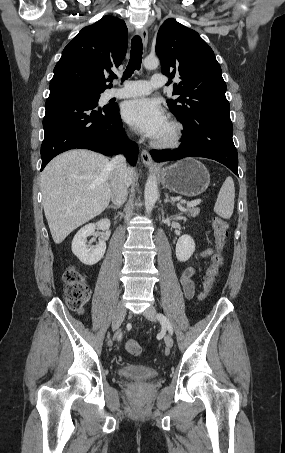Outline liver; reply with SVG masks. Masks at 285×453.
Listing matches in <instances>:
<instances>
[{
	"label": "liver",
	"instance_id": "liver-1",
	"mask_svg": "<svg viewBox=\"0 0 285 453\" xmlns=\"http://www.w3.org/2000/svg\"><path fill=\"white\" fill-rule=\"evenodd\" d=\"M109 163L101 154L70 150L54 158L43 170L44 213L56 244L107 208L113 177ZM134 176L135 171L129 168L130 182Z\"/></svg>",
	"mask_w": 285,
	"mask_h": 453
}]
</instances>
